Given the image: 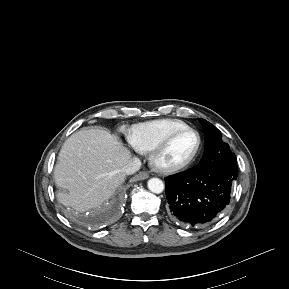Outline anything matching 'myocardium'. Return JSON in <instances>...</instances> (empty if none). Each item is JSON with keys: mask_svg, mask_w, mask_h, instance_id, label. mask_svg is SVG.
I'll list each match as a JSON object with an SVG mask.
<instances>
[{"mask_svg": "<svg viewBox=\"0 0 289 289\" xmlns=\"http://www.w3.org/2000/svg\"><path fill=\"white\" fill-rule=\"evenodd\" d=\"M186 132H192L197 136V146L194 150V152L185 160L178 162V163H172V164H165L161 161V156L165 152V150L169 147V145L172 143V141L178 137L179 135L186 133ZM202 147V137L200 133L192 128V127H186L182 129H178L176 131H173L169 135H167L152 151L150 154V163L153 166L155 170L161 173H174L179 170H182L186 167H188L198 156L200 153Z\"/></svg>", "mask_w": 289, "mask_h": 289, "instance_id": "1", "label": "myocardium"}]
</instances>
